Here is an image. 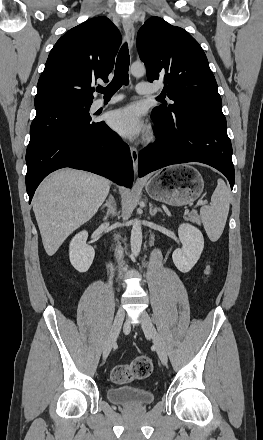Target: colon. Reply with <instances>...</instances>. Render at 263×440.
<instances>
[{"mask_svg": "<svg viewBox=\"0 0 263 440\" xmlns=\"http://www.w3.org/2000/svg\"><path fill=\"white\" fill-rule=\"evenodd\" d=\"M212 273V267L206 269V274ZM152 371V361L146 355L136 357L131 362L119 364L112 368L111 379L115 383L126 384L147 378Z\"/></svg>", "mask_w": 263, "mask_h": 440, "instance_id": "colon-1", "label": "colon"}]
</instances>
